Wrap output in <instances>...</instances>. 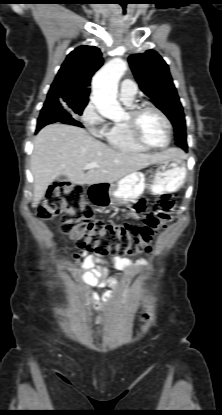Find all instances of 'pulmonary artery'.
Returning <instances> with one entry per match:
<instances>
[{
    "instance_id": "e3ab8cb5",
    "label": "pulmonary artery",
    "mask_w": 222,
    "mask_h": 415,
    "mask_svg": "<svg viewBox=\"0 0 222 415\" xmlns=\"http://www.w3.org/2000/svg\"><path fill=\"white\" fill-rule=\"evenodd\" d=\"M137 93L136 84L131 80H123L120 83V94L123 101H132Z\"/></svg>"
}]
</instances>
